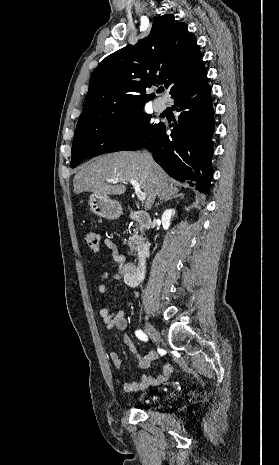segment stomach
Listing matches in <instances>:
<instances>
[{"instance_id":"stomach-1","label":"stomach","mask_w":279,"mask_h":465,"mask_svg":"<svg viewBox=\"0 0 279 465\" xmlns=\"http://www.w3.org/2000/svg\"><path fill=\"white\" fill-rule=\"evenodd\" d=\"M90 210L97 216L113 220L121 215V205L118 201L106 195L93 193L89 198Z\"/></svg>"}]
</instances>
